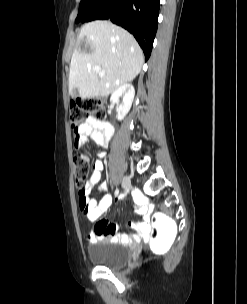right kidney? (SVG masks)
<instances>
[{
	"label": "right kidney",
	"mask_w": 247,
	"mask_h": 304,
	"mask_svg": "<svg viewBox=\"0 0 247 304\" xmlns=\"http://www.w3.org/2000/svg\"><path fill=\"white\" fill-rule=\"evenodd\" d=\"M135 96V89L132 84L126 83L119 86L111 95L110 101L117 105V118L123 120L130 111L133 99ZM123 97L122 103L119 104V98Z\"/></svg>",
	"instance_id": "ca27d5eb"
}]
</instances>
